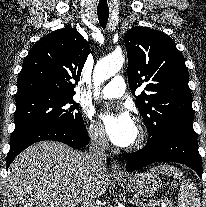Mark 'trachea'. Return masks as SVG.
<instances>
[{
    "instance_id": "3493384b",
    "label": "trachea",
    "mask_w": 206,
    "mask_h": 207,
    "mask_svg": "<svg viewBox=\"0 0 206 207\" xmlns=\"http://www.w3.org/2000/svg\"><path fill=\"white\" fill-rule=\"evenodd\" d=\"M98 19L102 28H106L109 18V11H97Z\"/></svg>"
}]
</instances>
